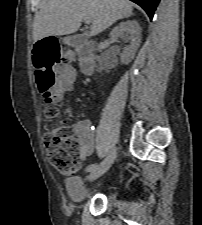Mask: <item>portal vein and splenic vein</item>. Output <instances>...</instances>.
<instances>
[{
	"instance_id": "obj_1",
	"label": "portal vein and splenic vein",
	"mask_w": 202,
	"mask_h": 225,
	"mask_svg": "<svg viewBox=\"0 0 202 225\" xmlns=\"http://www.w3.org/2000/svg\"><path fill=\"white\" fill-rule=\"evenodd\" d=\"M84 20H85L86 24H90L91 23V19L90 18H84Z\"/></svg>"
}]
</instances>
